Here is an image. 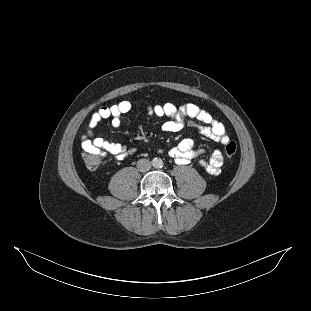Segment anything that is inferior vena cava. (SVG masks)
I'll return each instance as SVG.
<instances>
[{
	"label": "inferior vena cava",
	"instance_id": "inferior-vena-cava-1",
	"mask_svg": "<svg viewBox=\"0 0 311 311\" xmlns=\"http://www.w3.org/2000/svg\"><path fill=\"white\" fill-rule=\"evenodd\" d=\"M152 164L147 159H141L137 162V168L141 172H146L151 168Z\"/></svg>",
	"mask_w": 311,
	"mask_h": 311
}]
</instances>
